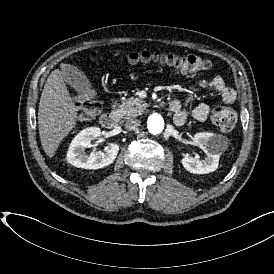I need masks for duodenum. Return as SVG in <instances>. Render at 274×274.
I'll return each mask as SVG.
<instances>
[{"mask_svg":"<svg viewBox=\"0 0 274 274\" xmlns=\"http://www.w3.org/2000/svg\"><path fill=\"white\" fill-rule=\"evenodd\" d=\"M118 101L116 99H113L111 101V110L110 112H107L102 115L100 118V122L103 126V128L111 130L117 127L118 125V116L114 112V110L117 108Z\"/></svg>","mask_w":274,"mask_h":274,"instance_id":"1","label":"duodenum"}]
</instances>
